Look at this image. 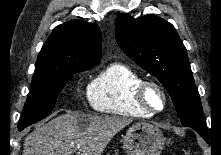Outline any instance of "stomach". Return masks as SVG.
<instances>
[{"label":"stomach","instance_id":"1","mask_svg":"<svg viewBox=\"0 0 221 155\" xmlns=\"http://www.w3.org/2000/svg\"><path fill=\"white\" fill-rule=\"evenodd\" d=\"M164 144L165 138L161 130L146 123L131 126L123 139L128 155H160Z\"/></svg>","mask_w":221,"mask_h":155}]
</instances>
